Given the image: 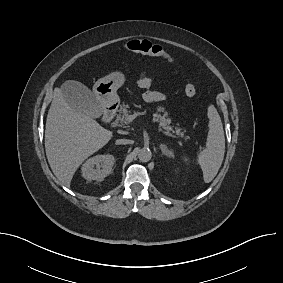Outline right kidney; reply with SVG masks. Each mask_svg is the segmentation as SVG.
<instances>
[{"label": "right kidney", "mask_w": 283, "mask_h": 283, "mask_svg": "<svg viewBox=\"0 0 283 283\" xmlns=\"http://www.w3.org/2000/svg\"><path fill=\"white\" fill-rule=\"evenodd\" d=\"M114 163L113 155H96L82 165V176L88 181H102L111 173Z\"/></svg>", "instance_id": "ca27d5eb"}]
</instances>
